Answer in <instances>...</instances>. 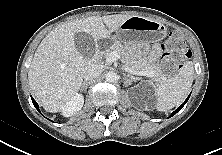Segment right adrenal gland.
Segmentation results:
<instances>
[{"label":"right adrenal gland","instance_id":"2a0ac1e0","mask_svg":"<svg viewBox=\"0 0 222 155\" xmlns=\"http://www.w3.org/2000/svg\"><path fill=\"white\" fill-rule=\"evenodd\" d=\"M90 84V82H83L81 85V91L86 92L88 85Z\"/></svg>","mask_w":222,"mask_h":155}]
</instances>
